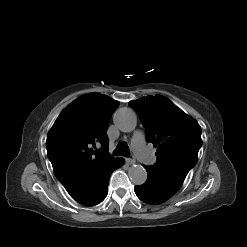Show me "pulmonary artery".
I'll use <instances>...</instances> for the list:
<instances>
[{"label": "pulmonary artery", "instance_id": "pulmonary-artery-1", "mask_svg": "<svg viewBox=\"0 0 247 247\" xmlns=\"http://www.w3.org/2000/svg\"><path fill=\"white\" fill-rule=\"evenodd\" d=\"M135 153L146 163L150 164L154 158L145 146V139L142 132H136L132 139Z\"/></svg>", "mask_w": 247, "mask_h": 247}]
</instances>
